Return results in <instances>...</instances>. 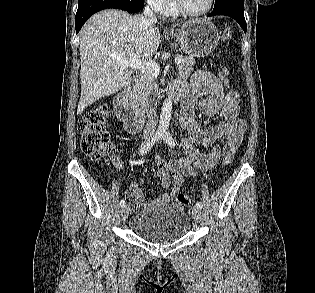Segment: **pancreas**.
<instances>
[{
    "label": "pancreas",
    "instance_id": "pancreas-1",
    "mask_svg": "<svg viewBox=\"0 0 315 293\" xmlns=\"http://www.w3.org/2000/svg\"><path fill=\"white\" fill-rule=\"evenodd\" d=\"M182 62L178 64L179 77L181 79H188L191 75V70L193 65L195 64V60L190 57H183ZM157 92L158 86L155 81V77L150 73H145L140 78L139 82L134 87L129 99L130 102L136 107L144 110L148 105V98L150 94Z\"/></svg>",
    "mask_w": 315,
    "mask_h": 293
}]
</instances>
